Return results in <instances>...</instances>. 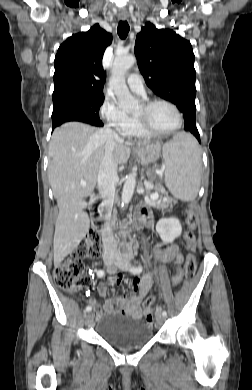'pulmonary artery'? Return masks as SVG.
Listing matches in <instances>:
<instances>
[{"label": "pulmonary artery", "mask_w": 252, "mask_h": 390, "mask_svg": "<svg viewBox=\"0 0 252 390\" xmlns=\"http://www.w3.org/2000/svg\"><path fill=\"white\" fill-rule=\"evenodd\" d=\"M127 84L130 90L136 94L144 96L145 90L142 77L138 74H131L127 78Z\"/></svg>", "instance_id": "obj_1"}]
</instances>
